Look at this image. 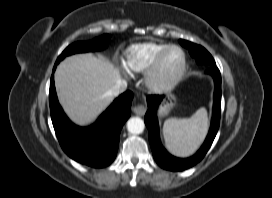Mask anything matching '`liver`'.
Listing matches in <instances>:
<instances>
[{"mask_svg": "<svg viewBox=\"0 0 272 198\" xmlns=\"http://www.w3.org/2000/svg\"><path fill=\"white\" fill-rule=\"evenodd\" d=\"M121 80L109 60L92 54H77L62 61L55 72L59 102L79 126H88L111 104L106 93Z\"/></svg>", "mask_w": 272, "mask_h": 198, "instance_id": "6515ba94", "label": "liver"}]
</instances>
